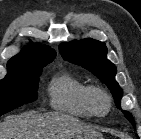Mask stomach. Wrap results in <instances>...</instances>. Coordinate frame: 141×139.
Wrapping results in <instances>:
<instances>
[{
  "instance_id": "stomach-1",
  "label": "stomach",
  "mask_w": 141,
  "mask_h": 139,
  "mask_svg": "<svg viewBox=\"0 0 141 139\" xmlns=\"http://www.w3.org/2000/svg\"><path fill=\"white\" fill-rule=\"evenodd\" d=\"M73 139H103V137L101 134L92 130V131H86L83 133H78L74 136Z\"/></svg>"
}]
</instances>
